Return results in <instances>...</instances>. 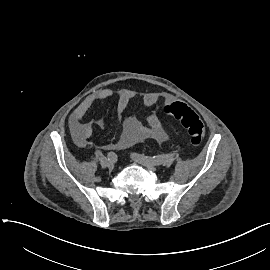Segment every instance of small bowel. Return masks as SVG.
Wrapping results in <instances>:
<instances>
[{
  "instance_id": "obj_1",
  "label": "small bowel",
  "mask_w": 270,
  "mask_h": 270,
  "mask_svg": "<svg viewBox=\"0 0 270 270\" xmlns=\"http://www.w3.org/2000/svg\"><path fill=\"white\" fill-rule=\"evenodd\" d=\"M113 96V91L108 88L100 89L87 96L72 112L69 118V127L75 140L80 145H85L93 134V125L99 128L104 127V116L98 118L94 124L84 122L83 117L87 111L98 102H104ZM131 93L128 90H121L118 93L116 102V112L122 116L130 100ZM172 96L165 92H151L143 96L142 102L145 107H151L156 103L169 102ZM169 138V133L163 121L154 113L146 117V122L142 123L134 117H126L123 121V130L120 138L115 143L103 145L104 149H126L134 144L147 140L164 142Z\"/></svg>"
}]
</instances>
